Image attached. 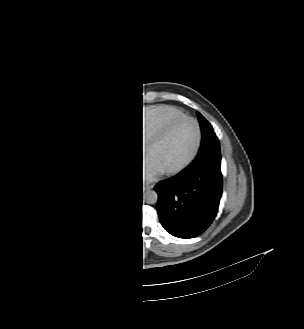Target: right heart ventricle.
<instances>
[{
    "label": "right heart ventricle",
    "instance_id": "1",
    "mask_svg": "<svg viewBox=\"0 0 304 329\" xmlns=\"http://www.w3.org/2000/svg\"><path fill=\"white\" fill-rule=\"evenodd\" d=\"M185 113L172 105H156L143 108L131 121L130 129L143 148L148 141L162 128L171 118L184 115Z\"/></svg>",
    "mask_w": 304,
    "mask_h": 329
}]
</instances>
